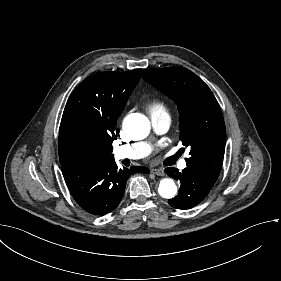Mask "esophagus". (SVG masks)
<instances>
[{"label": "esophagus", "mask_w": 281, "mask_h": 281, "mask_svg": "<svg viewBox=\"0 0 281 281\" xmlns=\"http://www.w3.org/2000/svg\"><path fill=\"white\" fill-rule=\"evenodd\" d=\"M150 172H151L152 174L157 175V176H164V175H165L164 169H162V168L151 169Z\"/></svg>", "instance_id": "esophagus-1"}]
</instances>
